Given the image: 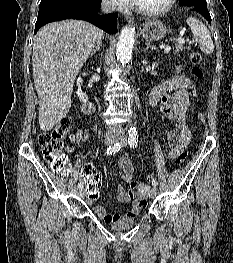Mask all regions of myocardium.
<instances>
[{
    "label": "myocardium",
    "mask_w": 233,
    "mask_h": 263,
    "mask_svg": "<svg viewBox=\"0 0 233 263\" xmlns=\"http://www.w3.org/2000/svg\"><path fill=\"white\" fill-rule=\"evenodd\" d=\"M176 1L177 0H168V3L164 7L158 10L143 9L140 6H138V4L135 1L133 2V6H134V9L141 15H144L147 17H157V16H161L169 12L176 4Z\"/></svg>",
    "instance_id": "myocardium-1"
}]
</instances>
